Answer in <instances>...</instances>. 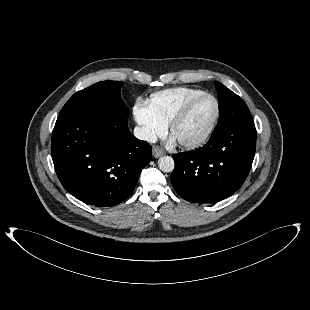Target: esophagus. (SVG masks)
Returning <instances> with one entry per match:
<instances>
[{
	"label": "esophagus",
	"mask_w": 310,
	"mask_h": 310,
	"mask_svg": "<svg viewBox=\"0 0 310 310\" xmlns=\"http://www.w3.org/2000/svg\"><path fill=\"white\" fill-rule=\"evenodd\" d=\"M152 154H153V157L154 158H159L160 156H162L163 155V152H162V150L161 149H159L158 147H153L152 148Z\"/></svg>",
	"instance_id": "34e87169"
}]
</instances>
